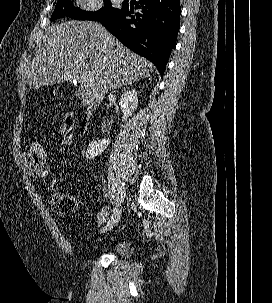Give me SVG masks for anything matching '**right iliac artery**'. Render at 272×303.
Listing matches in <instances>:
<instances>
[{
    "mask_svg": "<svg viewBox=\"0 0 272 303\" xmlns=\"http://www.w3.org/2000/svg\"><path fill=\"white\" fill-rule=\"evenodd\" d=\"M110 213H111V214H110V217H109V221H113L115 215H117V213H118V212H117V207H116V206H113ZM109 221L107 222V224L109 223Z\"/></svg>",
    "mask_w": 272,
    "mask_h": 303,
    "instance_id": "obj_1",
    "label": "right iliac artery"
}]
</instances>
